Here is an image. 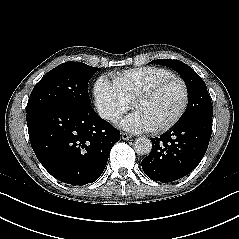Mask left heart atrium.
<instances>
[{
  "mask_svg": "<svg viewBox=\"0 0 239 239\" xmlns=\"http://www.w3.org/2000/svg\"><path fill=\"white\" fill-rule=\"evenodd\" d=\"M119 126L132 133L152 131L153 127L138 112H133L120 121Z\"/></svg>",
  "mask_w": 239,
  "mask_h": 239,
  "instance_id": "left-heart-atrium-1",
  "label": "left heart atrium"
}]
</instances>
